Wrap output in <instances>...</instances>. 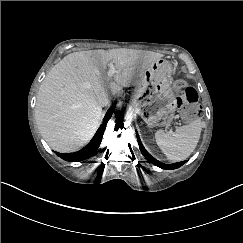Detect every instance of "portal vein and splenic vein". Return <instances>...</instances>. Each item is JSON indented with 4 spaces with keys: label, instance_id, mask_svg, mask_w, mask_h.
<instances>
[{
    "label": "portal vein and splenic vein",
    "instance_id": "1",
    "mask_svg": "<svg viewBox=\"0 0 243 243\" xmlns=\"http://www.w3.org/2000/svg\"><path fill=\"white\" fill-rule=\"evenodd\" d=\"M109 67H110V69H109L108 75H109V76H112V75H113L114 73H116L117 71H116V69H115L113 63H110V64H109Z\"/></svg>",
    "mask_w": 243,
    "mask_h": 243
}]
</instances>
